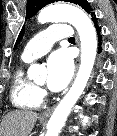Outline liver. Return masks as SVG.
Returning a JSON list of instances; mask_svg holds the SVG:
<instances>
[{"mask_svg":"<svg viewBox=\"0 0 117 136\" xmlns=\"http://www.w3.org/2000/svg\"><path fill=\"white\" fill-rule=\"evenodd\" d=\"M38 114L29 110H14L5 115L0 127V136H28Z\"/></svg>","mask_w":117,"mask_h":136,"instance_id":"6515ba94","label":"liver"}]
</instances>
